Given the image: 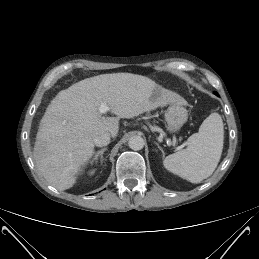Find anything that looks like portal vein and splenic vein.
I'll use <instances>...</instances> for the list:
<instances>
[{
	"label": "portal vein and splenic vein",
	"mask_w": 259,
	"mask_h": 259,
	"mask_svg": "<svg viewBox=\"0 0 259 259\" xmlns=\"http://www.w3.org/2000/svg\"><path fill=\"white\" fill-rule=\"evenodd\" d=\"M110 108L109 106H107L106 103H101L100 107H99V113L102 115V114H105L107 111H109Z\"/></svg>",
	"instance_id": "18ae733b"
}]
</instances>
